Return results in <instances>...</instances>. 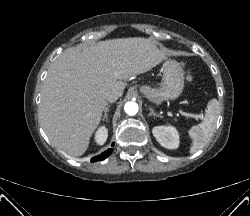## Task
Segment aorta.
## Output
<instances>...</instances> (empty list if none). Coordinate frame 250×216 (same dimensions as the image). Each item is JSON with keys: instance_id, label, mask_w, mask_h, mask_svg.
<instances>
[{"instance_id": "1", "label": "aorta", "mask_w": 250, "mask_h": 216, "mask_svg": "<svg viewBox=\"0 0 250 216\" xmlns=\"http://www.w3.org/2000/svg\"><path fill=\"white\" fill-rule=\"evenodd\" d=\"M126 114L133 116L138 112V104L135 102H127L124 106Z\"/></svg>"}]
</instances>
